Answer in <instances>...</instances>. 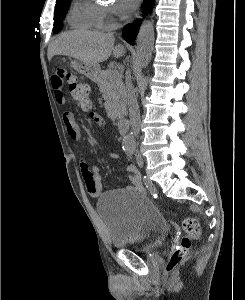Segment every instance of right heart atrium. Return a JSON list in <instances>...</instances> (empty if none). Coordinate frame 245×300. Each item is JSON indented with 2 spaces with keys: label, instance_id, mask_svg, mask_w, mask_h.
Returning <instances> with one entry per match:
<instances>
[{
  "label": "right heart atrium",
  "instance_id": "d8ad5b80",
  "mask_svg": "<svg viewBox=\"0 0 245 300\" xmlns=\"http://www.w3.org/2000/svg\"><path fill=\"white\" fill-rule=\"evenodd\" d=\"M95 6L98 13L99 24L106 29L114 27L119 19L118 9L109 4L98 3L95 4Z\"/></svg>",
  "mask_w": 245,
  "mask_h": 300
}]
</instances>
